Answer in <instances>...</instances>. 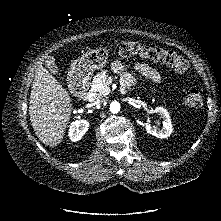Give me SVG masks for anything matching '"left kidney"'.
Wrapping results in <instances>:
<instances>
[{"mask_svg":"<svg viewBox=\"0 0 221 221\" xmlns=\"http://www.w3.org/2000/svg\"><path fill=\"white\" fill-rule=\"evenodd\" d=\"M154 112L155 114L159 115L163 119V128L162 129L154 128L150 124V120L147 119V123L145 126L146 131L149 134L154 135L158 138L169 137L173 131V128H172L171 119H170L168 111L164 109L163 107H157L155 108Z\"/></svg>","mask_w":221,"mask_h":221,"instance_id":"1","label":"left kidney"}]
</instances>
